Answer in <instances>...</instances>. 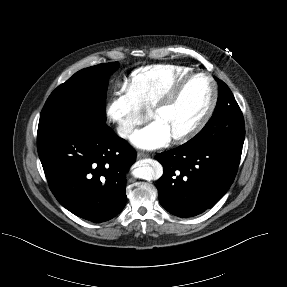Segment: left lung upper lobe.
Instances as JSON below:
<instances>
[{
    "mask_svg": "<svg viewBox=\"0 0 287 287\" xmlns=\"http://www.w3.org/2000/svg\"><path fill=\"white\" fill-rule=\"evenodd\" d=\"M218 87L219 97L215 111L205 127L191 141L242 148L245 137L242 112L228 86L218 80Z\"/></svg>",
    "mask_w": 287,
    "mask_h": 287,
    "instance_id": "1",
    "label": "left lung upper lobe"
}]
</instances>
